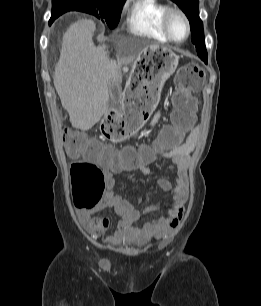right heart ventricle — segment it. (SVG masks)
Instances as JSON below:
<instances>
[{
	"mask_svg": "<svg viewBox=\"0 0 261 306\" xmlns=\"http://www.w3.org/2000/svg\"><path fill=\"white\" fill-rule=\"evenodd\" d=\"M169 7L160 0H132L127 11L129 30L138 36L169 42L162 18Z\"/></svg>",
	"mask_w": 261,
	"mask_h": 306,
	"instance_id": "1",
	"label": "right heart ventricle"
}]
</instances>
